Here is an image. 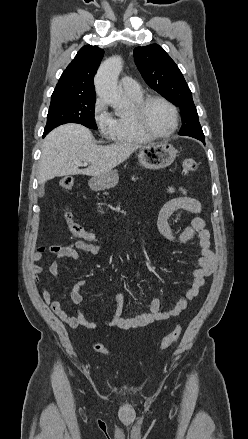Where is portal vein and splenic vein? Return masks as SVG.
Here are the masks:
<instances>
[{
    "instance_id": "portal-vein-and-splenic-vein-1",
    "label": "portal vein and splenic vein",
    "mask_w": 248,
    "mask_h": 439,
    "mask_svg": "<svg viewBox=\"0 0 248 439\" xmlns=\"http://www.w3.org/2000/svg\"><path fill=\"white\" fill-rule=\"evenodd\" d=\"M77 165H78V166H86L87 163L78 162Z\"/></svg>"
}]
</instances>
